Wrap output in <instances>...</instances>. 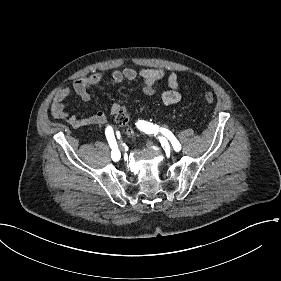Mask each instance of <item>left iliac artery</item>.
<instances>
[{
  "label": "left iliac artery",
  "mask_w": 281,
  "mask_h": 281,
  "mask_svg": "<svg viewBox=\"0 0 281 281\" xmlns=\"http://www.w3.org/2000/svg\"><path fill=\"white\" fill-rule=\"evenodd\" d=\"M137 128L147 134H154L156 135L158 132H161L164 136H166L172 143V146L175 151H179L181 149V145L179 141L174 137V135L165 128H159L157 125H153L150 122L144 120H138Z\"/></svg>",
  "instance_id": "44dca946"
}]
</instances>
